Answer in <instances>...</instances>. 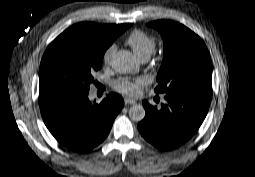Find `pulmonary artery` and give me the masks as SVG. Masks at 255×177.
<instances>
[{
  "label": "pulmonary artery",
  "mask_w": 255,
  "mask_h": 177,
  "mask_svg": "<svg viewBox=\"0 0 255 177\" xmlns=\"http://www.w3.org/2000/svg\"><path fill=\"white\" fill-rule=\"evenodd\" d=\"M147 61H148L147 58H144V59L142 60L143 63H145V62H147Z\"/></svg>",
  "instance_id": "obj_1"
}]
</instances>
